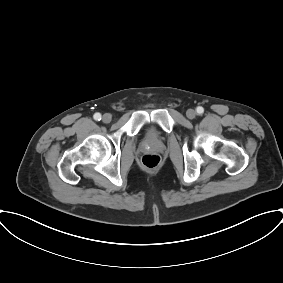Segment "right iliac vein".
<instances>
[{"label": "right iliac vein", "mask_w": 283, "mask_h": 283, "mask_svg": "<svg viewBox=\"0 0 283 283\" xmlns=\"http://www.w3.org/2000/svg\"><path fill=\"white\" fill-rule=\"evenodd\" d=\"M112 120V117L109 113H105L103 116H102V121L104 123H110Z\"/></svg>", "instance_id": "63e3f726"}]
</instances>
